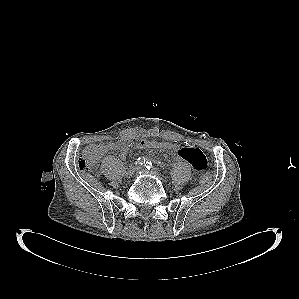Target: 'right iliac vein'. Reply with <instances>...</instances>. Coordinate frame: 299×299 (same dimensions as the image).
<instances>
[{
	"label": "right iliac vein",
	"mask_w": 299,
	"mask_h": 299,
	"mask_svg": "<svg viewBox=\"0 0 299 299\" xmlns=\"http://www.w3.org/2000/svg\"><path fill=\"white\" fill-rule=\"evenodd\" d=\"M135 170H136V167L134 165H130L129 168L125 172V177L127 179H130L134 175Z\"/></svg>",
	"instance_id": "right-iliac-vein-1"
}]
</instances>
